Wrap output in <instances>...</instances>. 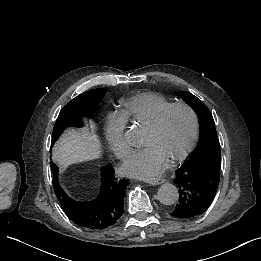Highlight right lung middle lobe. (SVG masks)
Listing matches in <instances>:
<instances>
[{
    "label": "right lung middle lobe",
    "instance_id": "1",
    "mask_svg": "<svg viewBox=\"0 0 261 261\" xmlns=\"http://www.w3.org/2000/svg\"><path fill=\"white\" fill-rule=\"evenodd\" d=\"M105 89H94L84 92L72 99L60 112L53 129L52 145L67 127H81L83 117H91L96 105L105 95ZM51 168L56 175L58 168L51 163Z\"/></svg>",
    "mask_w": 261,
    "mask_h": 261
}]
</instances>
